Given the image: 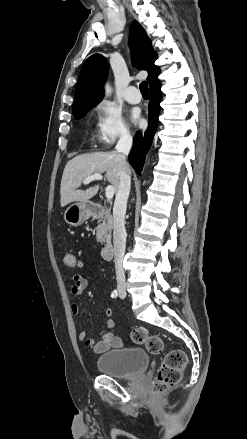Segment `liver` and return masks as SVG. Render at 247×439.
<instances>
[{
	"mask_svg": "<svg viewBox=\"0 0 247 439\" xmlns=\"http://www.w3.org/2000/svg\"><path fill=\"white\" fill-rule=\"evenodd\" d=\"M129 166V165H128ZM129 173H130V167ZM121 165L117 151L77 155L66 164L61 180V207L75 201L85 202L98 191L99 185L78 190L84 179L93 174L105 173L107 180L118 191Z\"/></svg>",
	"mask_w": 247,
	"mask_h": 439,
	"instance_id": "1",
	"label": "liver"
}]
</instances>
